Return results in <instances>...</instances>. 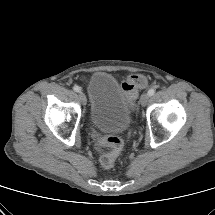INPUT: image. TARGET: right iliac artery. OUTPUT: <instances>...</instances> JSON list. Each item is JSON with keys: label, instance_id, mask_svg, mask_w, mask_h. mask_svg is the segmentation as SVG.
<instances>
[{"label": "right iliac artery", "instance_id": "1", "mask_svg": "<svg viewBox=\"0 0 215 215\" xmlns=\"http://www.w3.org/2000/svg\"><path fill=\"white\" fill-rule=\"evenodd\" d=\"M73 90L76 91V92H80L81 91L80 87L76 86V85L73 87Z\"/></svg>", "mask_w": 215, "mask_h": 215}]
</instances>
